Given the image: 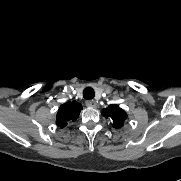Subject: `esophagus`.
I'll use <instances>...</instances> for the list:
<instances>
[{
	"mask_svg": "<svg viewBox=\"0 0 181 181\" xmlns=\"http://www.w3.org/2000/svg\"><path fill=\"white\" fill-rule=\"evenodd\" d=\"M86 106L90 107V108H96L97 107V103L94 100H87L86 101Z\"/></svg>",
	"mask_w": 181,
	"mask_h": 181,
	"instance_id": "esophagus-1",
	"label": "esophagus"
}]
</instances>
